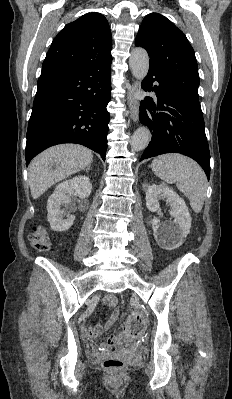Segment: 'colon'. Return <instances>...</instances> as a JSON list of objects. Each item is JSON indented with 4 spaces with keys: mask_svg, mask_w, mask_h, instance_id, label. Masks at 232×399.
Masks as SVG:
<instances>
[{
    "mask_svg": "<svg viewBox=\"0 0 232 399\" xmlns=\"http://www.w3.org/2000/svg\"><path fill=\"white\" fill-rule=\"evenodd\" d=\"M52 233V228L41 223L39 230L30 233L26 237V242L30 246H35L39 252H46L50 248L48 236ZM145 319L143 313H128L125 321V330H120L119 334H101L102 346L101 353H139L137 340L132 337H142ZM125 337V340H121ZM127 365L126 355H105L101 362L102 368H110V374H123V368Z\"/></svg>",
    "mask_w": 232,
    "mask_h": 399,
    "instance_id": "obj_1",
    "label": "colon"
}]
</instances>
